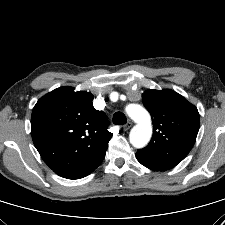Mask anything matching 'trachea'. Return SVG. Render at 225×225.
<instances>
[{"label":"trachea","mask_w":225,"mask_h":225,"mask_svg":"<svg viewBox=\"0 0 225 225\" xmlns=\"http://www.w3.org/2000/svg\"><path fill=\"white\" fill-rule=\"evenodd\" d=\"M126 122H127L126 116L122 112H116L113 115V123L115 125H124L126 124Z\"/></svg>","instance_id":"obj_1"}]
</instances>
